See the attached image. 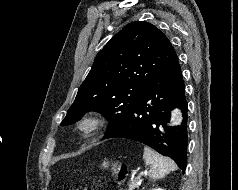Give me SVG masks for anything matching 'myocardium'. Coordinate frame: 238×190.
Wrapping results in <instances>:
<instances>
[{
	"instance_id": "1",
	"label": "myocardium",
	"mask_w": 238,
	"mask_h": 190,
	"mask_svg": "<svg viewBox=\"0 0 238 190\" xmlns=\"http://www.w3.org/2000/svg\"><path fill=\"white\" fill-rule=\"evenodd\" d=\"M105 122L103 114L99 112L88 113L78 120L77 128L84 136H89L100 130Z\"/></svg>"
}]
</instances>
